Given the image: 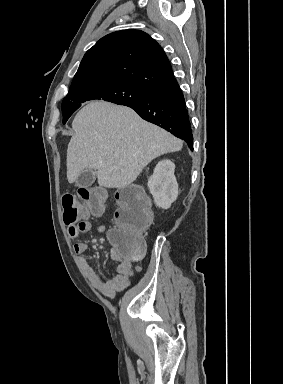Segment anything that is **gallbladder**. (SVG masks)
<instances>
[{
	"label": "gallbladder",
	"instance_id": "gallbladder-1",
	"mask_svg": "<svg viewBox=\"0 0 283 384\" xmlns=\"http://www.w3.org/2000/svg\"><path fill=\"white\" fill-rule=\"evenodd\" d=\"M94 180L95 172H93V170H84L83 174H81L78 180H76V186H78V188L80 186H85L86 188H89V186L93 184Z\"/></svg>",
	"mask_w": 283,
	"mask_h": 384
}]
</instances>
